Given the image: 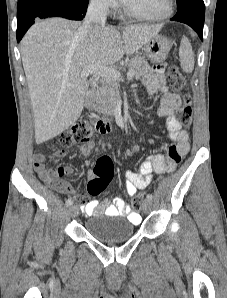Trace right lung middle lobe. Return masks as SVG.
Wrapping results in <instances>:
<instances>
[{
    "label": "right lung middle lobe",
    "instance_id": "right-lung-middle-lobe-1",
    "mask_svg": "<svg viewBox=\"0 0 227 298\" xmlns=\"http://www.w3.org/2000/svg\"><path fill=\"white\" fill-rule=\"evenodd\" d=\"M36 0H18V6H17V10L27 6L28 4L34 2ZM77 1H80V2H85V3H88L89 0H77Z\"/></svg>",
    "mask_w": 227,
    "mask_h": 298
}]
</instances>
